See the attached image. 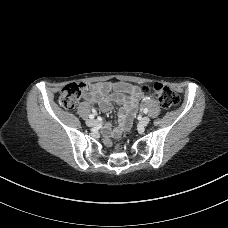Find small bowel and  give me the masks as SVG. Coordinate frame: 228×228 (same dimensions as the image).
<instances>
[{
	"label": "small bowel",
	"instance_id": "obj_1",
	"mask_svg": "<svg viewBox=\"0 0 228 228\" xmlns=\"http://www.w3.org/2000/svg\"><path fill=\"white\" fill-rule=\"evenodd\" d=\"M142 98L141 89L136 85L124 82H98L91 86V91L86 95L85 101L98 104L103 112L110 111L112 103L120 106L116 128L112 130L109 125L103 128L104 135L109 138L120 135L129 127V120Z\"/></svg>",
	"mask_w": 228,
	"mask_h": 228
}]
</instances>
